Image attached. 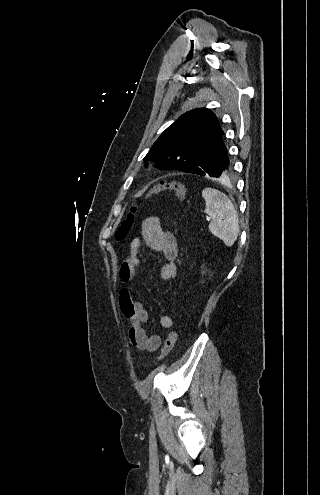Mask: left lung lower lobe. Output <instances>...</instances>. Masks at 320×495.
Segmentation results:
<instances>
[{
  "instance_id": "left-lung-lower-lobe-1",
  "label": "left lung lower lobe",
  "mask_w": 320,
  "mask_h": 495,
  "mask_svg": "<svg viewBox=\"0 0 320 495\" xmlns=\"http://www.w3.org/2000/svg\"><path fill=\"white\" fill-rule=\"evenodd\" d=\"M233 162L230 159L226 146L221 139L207 151L195 164L183 172L193 173L201 176L225 178L233 171Z\"/></svg>"
}]
</instances>
